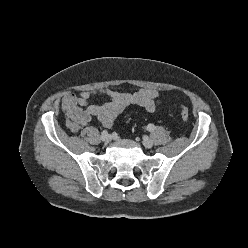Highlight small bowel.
I'll return each mask as SVG.
<instances>
[{"label":"small bowel","mask_w":248,"mask_h":248,"mask_svg":"<svg viewBox=\"0 0 248 248\" xmlns=\"http://www.w3.org/2000/svg\"><path fill=\"white\" fill-rule=\"evenodd\" d=\"M97 95L106 96L108 101L102 105L91 104V98ZM163 103L159 92L153 89H139L133 93L93 90L64 95L61 109L67 116L66 127L77 133L82 126L92 121L104 126L113 125L118 115L130 105L140 106L148 112H156Z\"/></svg>","instance_id":"small-bowel-1"}]
</instances>
